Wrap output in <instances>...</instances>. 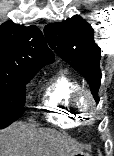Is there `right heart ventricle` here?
<instances>
[{
    "label": "right heart ventricle",
    "instance_id": "right-heart-ventricle-1",
    "mask_svg": "<svg viewBox=\"0 0 114 156\" xmlns=\"http://www.w3.org/2000/svg\"><path fill=\"white\" fill-rule=\"evenodd\" d=\"M80 87L79 82L65 70H60L45 83L40 108L50 122L62 128L77 126L78 115L70 101L72 94Z\"/></svg>",
    "mask_w": 114,
    "mask_h": 156
}]
</instances>
